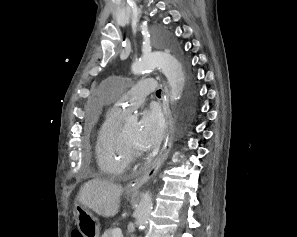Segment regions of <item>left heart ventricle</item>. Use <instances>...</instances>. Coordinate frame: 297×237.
<instances>
[{
    "mask_svg": "<svg viewBox=\"0 0 297 237\" xmlns=\"http://www.w3.org/2000/svg\"><path fill=\"white\" fill-rule=\"evenodd\" d=\"M121 133L123 136L127 139L129 143H131L133 146L141 149V147L138 144V126L136 124L130 125L124 129L121 130Z\"/></svg>",
    "mask_w": 297,
    "mask_h": 237,
    "instance_id": "1",
    "label": "left heart ventricle"
}]
</instances>
